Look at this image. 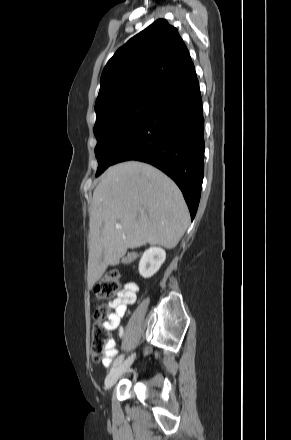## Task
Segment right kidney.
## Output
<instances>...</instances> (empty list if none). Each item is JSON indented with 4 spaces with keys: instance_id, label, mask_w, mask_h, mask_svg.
Listing matches in <instances>:
<instances>
[{
    "instance_id": "1",
    "label": "right kidney",
    "mask_w": 291,
    "mask_h": 440,
    "mask_svg": "<svg viewBox=\"0 0 291 440\" xmlns=\"http://www.w3.org/2000/svg\"><path fill=\"white\" fill-rule=\"evenodd\" d=\"M166 259V253L159 247L147 249L139 262V273L144 278L153 276L161 267Z\"/></svg>"
}]
</instances>
